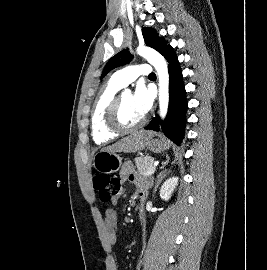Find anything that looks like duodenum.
I'll list each match as a JSON object with an SVG mask.
<instances>
[{
	"mask_svg": "<svg viewBox=\"0 0 267 270\" xmlns=\"http://www.w3.org/2000/svg\"><path fill=\"white\" fill-rule=\"evenodd\" d=\"M139 201H140V203H142L143 199H139ZM142 213H143V209H142V207H140V209H139V220L140 221L142 220Z\"/></svg>",
	"mask_w": 267,
	"mask_h": 270,
	"instance_id": "1",
	"label": "duodenum"
}]
</instances>
